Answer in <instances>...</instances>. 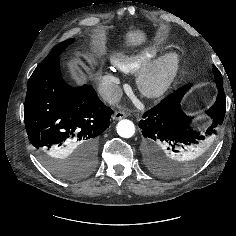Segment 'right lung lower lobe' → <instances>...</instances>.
Returning a JSON list of instances; mask_svg holds the SVG:
<instances>
[{
	"instance_id": "right-lung-lower-lobe-1",
	"label": "right lung lower lobe",
	"mask_w": 236,
	"mask_h": 236,
	"mask_svg": "<svg viewBox=\"0 0 236 236\" xmlns=\"http://www.w3.org/2000/svg\"><path fill=\"white\" fill-rule=\"evenodd\" d=\"M112 109L91 86L64 82L59 59L40 63L28 82L24 121L28 138L40 155L64 156L96 162L98 136L109 127Z\"/></svg>"
}]
</instances>
